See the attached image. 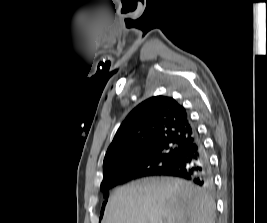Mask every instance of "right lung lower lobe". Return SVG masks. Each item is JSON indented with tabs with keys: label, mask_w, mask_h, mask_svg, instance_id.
I'll use <instances>...</instances> for the list:
<instances>
[{
	"label": "right lung lower lobe",
	"mask_w": 267,
	"mask_h": 223,
	"mask_svg": "<svg viewBox=\"0 0 267 223\" xmlns=\"http://www.w3.org/2000/svg\"><path fill=\"white\" fill-rule=\"evenodd\" d=\"M146 176H172L189 180L204 188L212 186L209 158L197 133L195 141L188 145L167 169L155 174L133 171L112 176L101 185V188L107 192L114 186Z\"/></svg>",
	"instance_id": "1"
}]
</instances>
